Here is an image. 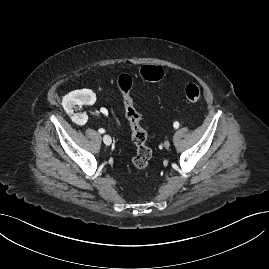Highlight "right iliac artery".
I'll return each mask as SVG.
<instances>
[{"label": "right iliac artery", "instance_id": "1", "mask_svg": "<svg viewBox=\"0 0 269 269\" xmlns=\"http://www.w3.org/2000/svg\"><path fill=\"white\" fill-rule=\"evenodd\" d=\"M98 131H99V133H101V134L105 132V130H104L103 128H100Z\"/></svg>", "mask_w": 269, "mask_h": 269}]
</instances>
